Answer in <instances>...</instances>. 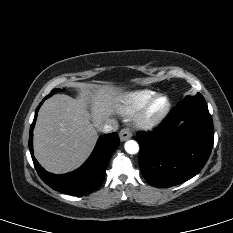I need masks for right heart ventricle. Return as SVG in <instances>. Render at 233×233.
<instances>
[{
  "mask_svg": "<svg viewBox=\"0 0 233 233\" xmlns=\"http://www.w3.org/2000/svg\"><path fill=\"white\" fill-rule=\"evenodd\" d=\"M155 94V91L149 89H141L125 93L117 104V110L119 113L126 116L134 115Z\"/></svg>",
  "mask_w": 233,
  "mask_h": 233,
  "instance_id": "obj_1",
  "label": "right heart ventricle"
}]
</instances>
